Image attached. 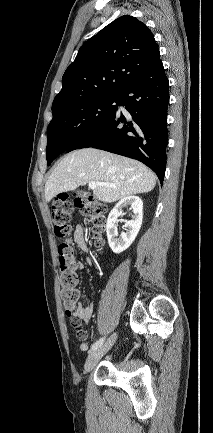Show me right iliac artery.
Returning a JSON list of instances; mask_svg holds the SVG:
<instances>
[{"instance_id": "82829eb1", "label": "right iliac artery", "mask_w": 213, "mask_h": 433, "mask_svg": "<svg viewBox=\"0 0 213 433\" xmlns=\"http://www.w3.org/2000/svg\"><path fill=\"white\" fill-rule=\"evenodd\" d=\"M104 339H105V338H100L99 340H97V341H96V342L91 346L90 351H93V350L97 349L98 347H100V346L103 344Z\"/></svg>"}]
</instances>
